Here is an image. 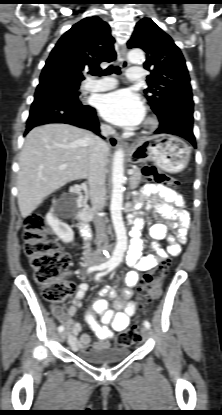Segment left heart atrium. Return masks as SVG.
<instances>
[{
  "label": "left heart atrium",
  "instance_id": "39dd6f15",
  "mask_svg": "<svg viewBox=\"0 0 222 415\" xmlns=\"http://www.w3.org/2000/svg\"><path fill=\"white\" fill-rule=\"evenodd\" d=\"M101 116L118 126L133 127L144 117L141 98L128 89H120L101 97L99 101Z\"/></svg>",
  "mask_w": 222,
  "mask_h": 415
}]
</instances>
